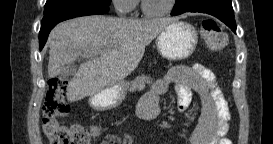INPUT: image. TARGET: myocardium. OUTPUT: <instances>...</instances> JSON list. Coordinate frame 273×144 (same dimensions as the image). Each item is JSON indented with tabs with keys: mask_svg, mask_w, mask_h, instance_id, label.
Instances as JSON below:
<instances>
[{
	"mask_svg": "<svg viewBox=\"0 0 273 144\" xmlns=\"http://www.w3.org/2000/svg\"><path fill=\"white\" fill-rule=\"evenodd\" d=\"M176 2H177V0H170L169 4L166 7L162 8L161 10H151L148 8L146 1L142 0L141 1V9H142L143 13L146 15L161 16V15H165V14L170 13L174 9Z\"/></svg>",
	"mask_w": 273,
	"mask_h": 144,
	"instance_id": "obj_1",
	"label": "myocardium"
}]
</instances>
